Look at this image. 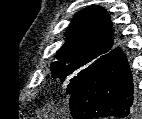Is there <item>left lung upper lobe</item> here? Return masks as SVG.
I'll use <instances>...</instances> for the list:
<instances>
[{"label":"left lung upper lobe","instance_id":"5c2ea615","mask_svg":"<svg viewBox=\"0 0 142 119\" xmlns=\"http://www.w3.org/2000/svg\"><path fill=\"white\" fill-rule=\"evenodd\" d=\"M114 45V31L105 10L99 6L81 10L67 29L65 44L57 51L58 61L51 64L52 77L70 82L66 90L71 94Z\"/></svg>","mask_w":142,"mask_h":119}]
</instances>
